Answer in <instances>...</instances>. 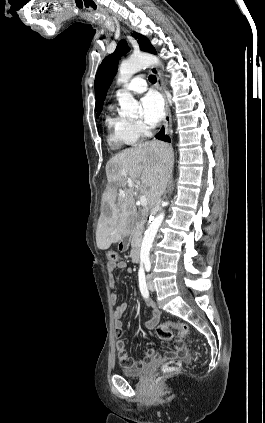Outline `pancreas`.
<instances>
[{"mask_svg":"<svg viewBox=\"0 0 265 423\" xmlns=\"http://www.w3.org/2000/svg\"><path fill=\"white\" fill-rule=\"evenodd\" d=\"M142 232H143V223L139 222L136 224V227L133 229L131 233L133 245H137L140 242Z\"/></svg>","mask_w":265,"mask_h":423,"instance_id":"cf45deb5","label":"pancreas"}]
</instances>
